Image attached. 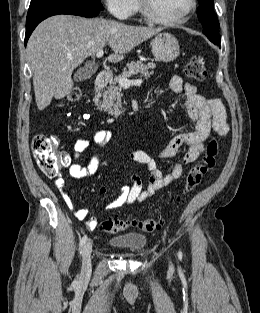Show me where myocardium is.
Masks as SVG:
<instances>
[{"mask_svg": "<svg viewBox=\"0 0 260 313\" xmlns=\"http://www.w3.org/2000/svg\"><path fill=\"white\" fill-rule=\"evenodd\" d=\"M137 2L141 13L148 21L162 25H173L181 23L189 15H191L197 7V0H190L188 8L182 14L173 18H162L154 13L152 8L150 7L149 0H137Z\"/></svg>", "mask_w": 260, "mask_h": 313, "instance_id": "1", "label": "myocardium"}]
</instances>
